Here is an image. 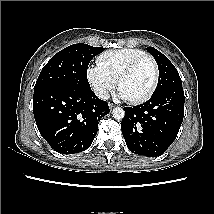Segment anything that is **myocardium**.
Returning <instances> with one entry per match:
<instances>
[{
    "instance_id": "1",
    "label": "myocardium",
    "mask_w": 214,
    "mask_h": 214,
    "mask_svg": "<svg viewBox=\"0 0 214 214\" xmlns=\"http://www.w3.org/2000/svg\"><path fill=\"white\" fill-rule=\"evenodd\" d=\"M145 61L149 62L153 68V82L150 88L148 89V91L144 95L135 99H129V101L133 104H140L147 101L155 92L159 83V68L156 61L149 55H144L142 57H139L133 60L126 67H124L117 78V85H118V88L120 89L121 81L131 72H133L141 63Z\"/></svg>"
}]
</instances>
